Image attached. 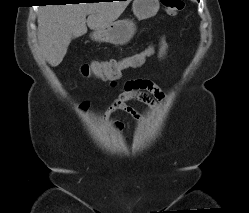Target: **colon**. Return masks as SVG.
Returning a JSON list of instances; mask_svg holds the SVG:
<instances>
[{
	"mask_svg": "<svg viewBox=\"0 0 249 213\" xmlns=\"http://www.w3.org/2000/svg\"><path fill=\"white\" fill-rule=\"evenodd\" d=\"M161 4L171 15L178 14L184 8L183 0H161ZM152 52V48H147L142 52L134 54L131 60L109 59L105 61L84 63L80 65L79 72L84 77L95 76L102 79L116 78L120 75L123 69L129 68V66L134 62L149 57Z\"/></svg>",
	"mask_w": 249,
	"mask_h": 213,
	"instance_id": "obj_1",
	"label": "colon"
}]
</instances>
